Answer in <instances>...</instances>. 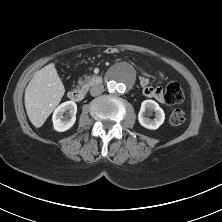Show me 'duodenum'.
Listing matches in <instances>:
<instances>
[{"label":"duodenum","mask_w":222,"mask_h":222,"mask_svg":"<svg viewBox=\"0 0 222 222\" xmlns=\"http://www.w3.org/2000/svg\"><path fill=\"white\" fill-rule=\"evenodd\" d=\"M102 83L101 76H95L91 79L90 85H99ZM86 89L84 88H74L68 92V98L74 102L82 101L85 98Z\"/></svg>","instance_id":"duodenum-1"}]
</instances>
